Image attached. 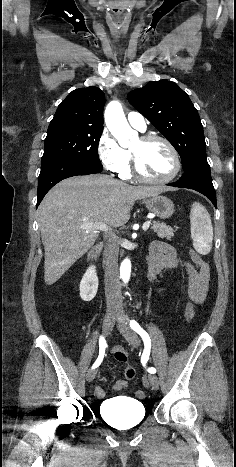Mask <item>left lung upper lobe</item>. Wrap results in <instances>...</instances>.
<instances>
[{"label": "left lung upper lobe", "instance_id": "1", "mask_svg": "<svg viewBox=\"0 0 236 467\" xmlns=\"http://www.w3.org/2000/svg\"><path fill=\"white\" fill-rule=\"evenodd\" d=\"M179 153L183 170L206 160V143L200 117L189 96L174 82H150L127 95Z\"/></svg>", "mask_w": 236, "mask_h": 467}]
</instances>
